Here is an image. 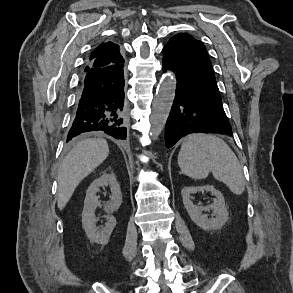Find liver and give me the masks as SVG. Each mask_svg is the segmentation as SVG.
Masks as SVG:
<instances>
[{"mask_svg":"<svg viewBox=\"0 0 293 293\" xmlns=\"http://www.w3.org/2000/svg\"><path fill=\"white\" fill-rule=\"evenodd\" d=\"M107 141L89 138L79 142L64 158L58 170V208L62 210L80 182L108 156Z\"/></svg>","mask_w":293,"mask_h":293,"instance_id":"6515ba94","label":"liver"}]
</instances>
